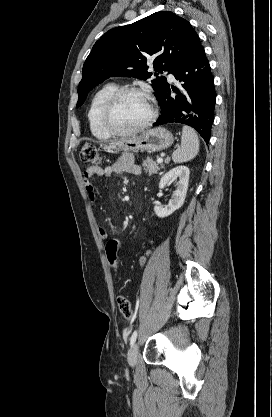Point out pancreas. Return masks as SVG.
I'll return each instance as SVG.
<instances>
[{"instance_id": "obj_1", "label": "pancreas", "mask_w": 272, "mask_h": 417, "mask_svg": "<svg viewBox=\"0 0 272 417\" xmlns=\"http://www.w3.org/2000/svg\"><path fill=\"white\" fill-rule=\"evenodd\" d=\"M143 167H144L145 172H149V174H155V173H157V171H159L161 168H163L164 165L159 166L151 158H147L143 162Z\"/></svg>"}]
</instances>
